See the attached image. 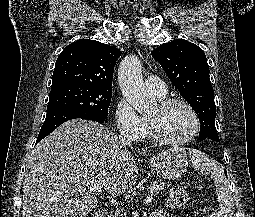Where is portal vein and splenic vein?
Returning a JSON list of instances; mask_svg holds the SVG:
<instances>
[{"instance_id": "1", "label": "portal vein and splenic vein", "mask_w": 255, "mask_h": 217, "mask_svg": "<svg viewBox=\"0 0 255 217\" xmlns=\"http://www.w3.org/2000/svg\"><path fill=\"white\" fill-rule=\"evenodd\" d=\"M90 190L94 192H100V193L102 192V189L98 186H93L90 188ZM107 198L112 204H118L117 200L114 199L112 196H107ZM152 199H153V191L146 197V199L144 200V204L150 203Z\"/></svg>"}]
</instances>
